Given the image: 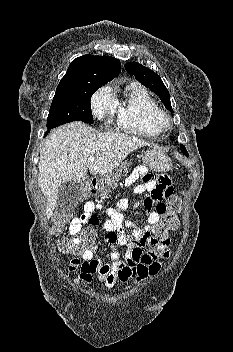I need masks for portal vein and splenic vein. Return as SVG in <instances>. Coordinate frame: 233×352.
<instances>
[{"instance_id": "18ae733b", "label": "portal vein and splenic vein", "mask_w": 233, "mask_h": 352, "mask_svg": "<svg viewBox=\"0 0 233 352\" xmlns=\"http://www.w3.org/2000/svg\"><path fill=\"white\" fill-rule=\"evenodd\" d=\"M95 159H96V158H95L94 156L88 157V161H89V162H93V161H95Z\"/></svg>"}]
</instances>
